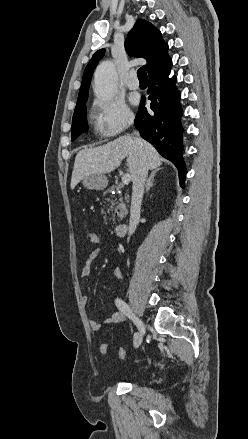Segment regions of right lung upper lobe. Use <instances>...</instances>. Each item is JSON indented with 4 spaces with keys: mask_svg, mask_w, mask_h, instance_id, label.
Instances as JSON below:
<instances>
[{
    "mask_svg": "<svg viewBox=\"0 0 248 439\" xmlns=\"http://www.w3.org/2000/svg\"><path fill=\"white\" fill-rule=\"evenodd\" d=\"M125 47L132 56L142 57L147 60L145 68L148 74L171 62V58L167 53L168 45L162 39L161 32L150 22L143 19H138L134 24V27L126 38ZM103 54L104 49L98 50L87 64L75 110L80 108L87 101L92 74L97 62Z\"/></svg>",
    "mask_w": 248,
    "mask_h": 439,
    "instance_id": "cb5924a9",
    "label": "right lung upper lobe"
}]
</instances>
